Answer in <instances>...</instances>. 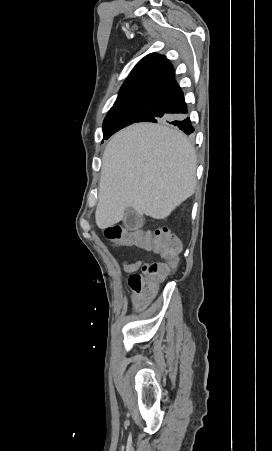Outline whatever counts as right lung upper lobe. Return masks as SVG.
<instances>
[{"instance_id": "cb5924a9", "label": "right lung upper lobe", "mask_w": 272, "mask_h": 451, "mask_svg": "<svg viewBox=\"0 0 272 451\" xmlns=\"http://www.w3.org/2000/svg\"><path fill=\"white\" fill-rule=\"evenodd\" d=\"M174 78L172 65L164 56L149 54L133 68L116 101L152 98Z\"/></svg>"}]
</instances>
